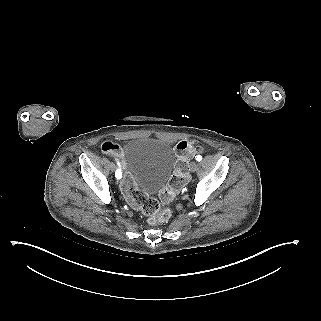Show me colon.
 <instances>
[{
    "label": "colon",
    "instance_id": "obj_1",
    "mask_svg": "<svg viewBox=\"0 0 321 321\" xmlns=\"http://www.w3.org/2000/svg\"><path fill=\"white\" fill-rule=\"evenodd\" d=\"M102 150L105 153L113 155L116 158L119 167L124 172V178L120 182V188L127 202L132 207L140 210L146 216V220L150 225L163 223L169 220L171 217V210L161 206L157 199L139 191L132 183L125 170V163L120 146L112 141H106L102 144ZM198 151H200V146L196 141L184 140L176 145L174 173L167 187L161 192V199L164 202L173 200L177 192L185 184L188 177L190 160Z\"/></svg>",
    "mask_w": 321,
    "mask_h": 321
}]
</instances>
